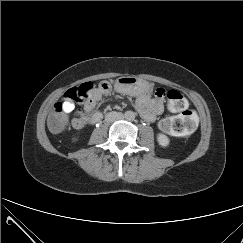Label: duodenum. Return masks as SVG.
<instances>
[{
	"label": "duodenum",
	"mask_w": 243,
	"mask_h": 243,
	"mask_svg": "<svg viewBox=\"0 0 243 243\" xmlns=\"http://www.w3.org/2000/svg\"><path fill=\"white\" fill-rule=\"evenodd\" d=\"M102 118V114L100 112H95L91 117V123L95 124L99 122Z\"/></svg>",
	"instance_id": "obj_1"
}]
</instances>
